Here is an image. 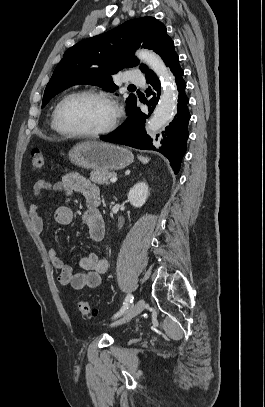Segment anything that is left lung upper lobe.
<instances>
[{
	"label": "left lung upper lobe",
	"mask_w": 265,
	"mask_h": 407,
	"mask_svg": "<svg viewBox=\"0 0 265 407\" xmlns=\"http://www.w3.org/2000/svg\"><path fill=\"white\" fill-rule=\"evenodd\" d=\"M138 47L152 49L170 68L179 59L163 23L154 17L129 20L109 32L85 39L65 52L46 86L42 108L52 97L77 84L97 85L114 92L118 87L111 74L137 66L139 61L134 51ZM140 70L146 76L155 75L144 64ZM136 101L133 94L127 98L128 115L136 107Z\"/></svg>",
	"instance_id": "left-lung-upper-lobe-1"
}]
</instances>
